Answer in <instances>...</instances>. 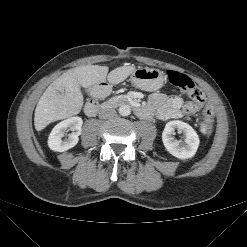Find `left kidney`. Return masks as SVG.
<instances>
[{
  "label": "left kidney",
  "instance_id": "obj_1",
  "mask_svg": "<svg viewBox=\"0 0 247 247\" xmlns=\"http://www.w3.org/2000/svg\"><path fill=\"white\" fill-rule=\"evenodd\" d=\"M175 129L183 132L184 143L177 141L172 136ZM162 141L165 149L179 159L192 158L200 143L196 131L189 124L179 120H173L166 124L162 133Z\"/></svg>",
  "mask_w": 247,
  "mask_h": 247
}]
</instances>
